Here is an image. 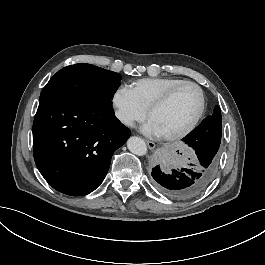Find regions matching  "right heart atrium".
I'll return each instance as SVG.
<instances>
[{
  "instance_id": "1",
  "label": "right heart atrium",
  "mask_w": 265,
  "mask_h": 265,
  "mask_svg": "<svg viewBox=\"0 0 265 265\" xmlns=\"http://www.w3.org/2000/svg\"><path fill=\"white\" fill-rule=\"evenodd\" d=\"M110 99L116 120L123 127L134 130L145 121L146 113L139 102L134 100L127 85L121 84L113 89Z\"/></svg>"
}]
</instances>
